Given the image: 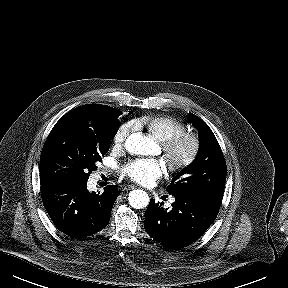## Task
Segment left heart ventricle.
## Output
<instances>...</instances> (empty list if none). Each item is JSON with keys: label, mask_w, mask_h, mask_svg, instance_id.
I'll use <instances>...</instances> for the list:
<instances>
[{"label": "left heart ventricle", "mask_w": 288, "mask_h": 288, "mask_svg": "<svg viewBox=\"0 0 288 288\" xmlns=\"http://www.w3.org/2000/svg\"><path fill=\"white\" fill-rule=\"evenodd\" d=\"M187 148V145H183V149H186Z\"/></svg>", "instance_id": "left-heart-ventricle-1"}]
</instances>
